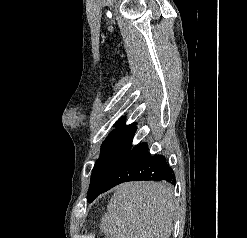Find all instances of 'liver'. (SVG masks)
Returning a JSON list of instances; mask_svg holds the SVG:
<instances>
[{"label": "liver", "mask_w": 247, "mask_h": 238, "mask_svg": "<svg viewBox=\"0 0 247 238\" xmlns=\"http://www.w3.org/2000/svg\"><path fill=\"white\" fill-rule=\"evenodd\" d=\"M175 210L171 185L123 183L115 188L100 229L107 238H169Z\"/></svg>", "instance_id": "obj_1"}]
</instances>
